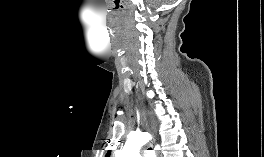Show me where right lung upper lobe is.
<instances>
[{
  "mask_svg": "<svg viewBox=\"0 0 264 157\" xmlns=\"http://www.w3.org/2000/svg\"><path fill=\"white\" fill-rule=\"evenodd\" d=\"M109 153H110V151L108 152V154L106 155V157H109Z\"/></svg>",
  "mask_w": 264,
  "mask_h": 157,
  "instance_id": "right-lung-upper-lobe-1",
  "label": "right lung upper lobe"
}]
</instances>
